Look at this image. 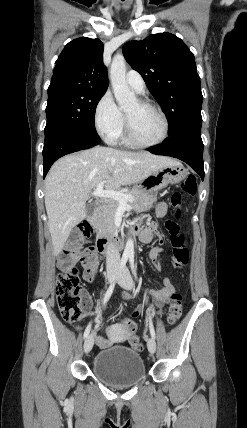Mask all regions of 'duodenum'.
<instances>
[{"label":"duodenum","instance_id":"1","mask_svg":"<svg viewBox=\"0 0 247 428\" xmlns=\"http://www.w3.org/2000/svg\"><path fill=\"white\" fill-rule=\"evenodd\" d=\"M103 204V200L99 199L96 201V207L99 208ZM128 231L136 234H140L142 226L139 221H134L128 227ZM126 237V231L121 229L117 230L112 234H105L100 236L97 242V249L102 253H109L120 249L123 246L124 239Z\"/></svg>","mask_w":247,"mask_h":428}]
</instances>
